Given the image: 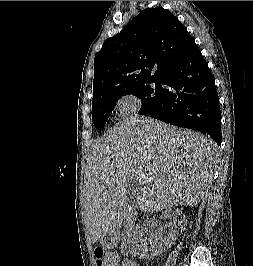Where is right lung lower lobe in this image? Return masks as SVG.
I'll return each instance as SVG.
<instances>
[{
	"label": "right lung lower lobe",
	"instance_id": "obj_1",
	"mask_svg": "<svg viewBox=\"0 0 253 266\" xmlns=\"http://www.w3.org/2000/svg\"><path fill=\"white\" fill-rule=\"evenodd\" d=\"M160 103L146 116L208 135L221 144V111L214 77L200 50L161 79Z\"/></svg>",
	"mask_w": 253,
	"mask_h": 266
}]
</instances>
